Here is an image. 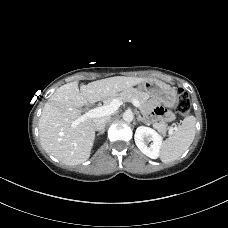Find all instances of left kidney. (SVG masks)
Here are the masks:
<instances>
[{
  "mask_svg": "<svg viewBox=\"0 0 228 228\" xmlns=\"http://www.w3.org/2000/svg\"><path fill=\"white\" fill-rule=\"evenodd\" d=\"M135 143L140 151L151 159H157L160 154L162 137L152 128L140 126L135 132ZM149 142H152L150 145Z\"/></svg>",
  "mask_w": 228,
  "mask_h": 228,
  "instance_id": "left-kidney-1",
  "label": "left kidney"
}]
</instances>
